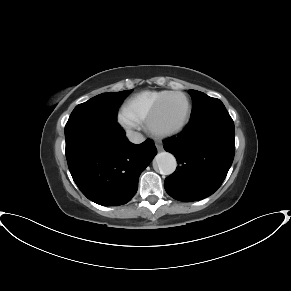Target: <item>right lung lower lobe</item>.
<instances>
[{
  "label": "right lung lower lobe",
  "instance_id": "1",
  "mask_svg": "<svg viewBox=\"0 0 291 291\" xmlns=\"http://www.w3.org/2000/svg\"><path fill=\"white\" fill-rule=\"evenodd\" d=\"M65 140L74 182L89 200L103 206L130 201L140 174L156 155L152 141L132 144L117 120L100 117L69 118Z\"/></svg>",
  "mask_w": 291,
  "mask_h": 291
}]
</instances>
